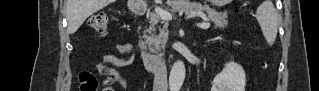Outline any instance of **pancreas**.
Listing matches in <instances>:
<instances>
[{"mask_svg": "<svg viewBox=\"0 0 319 91\" xmlns=\"http://www.w3.org/2000/svg\"><path fill=\"white\" fill-rule=\"evenodd\" d=\"M169 6L172 7L173 11L184 12L186 14L190 13H201L206 12L208 19L214 23V28L224 29L228 24V16L226 13L216 12L215 10L209 8L208 6H202L200 4H188V5H179L171 1ZM158 23L165 24L160 16L156 12L150 13V27L147 30V35L144 36L145 44L150 52L158 55L161 48H164L167 39H168V28L167 25H164L163 28L159 27V34L156 35V26Z\"/></svg>", "mask_w": 319, "mask_h": 91, "instance_id": "cf45deb5", "label": "pancreas"}]
</instances>
